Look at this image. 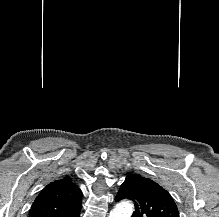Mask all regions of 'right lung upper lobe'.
I'll return each instance as SVG.
<instances>
[{
    "instance_id": "cb5924a9",
    "label": "right lung upper lobe",
    "mask_w": 219,
    "mask_h": 217,
    "mask_svg": "<svg viewBox=\"0 0 219 217\" xmlns=\"http://www.w3.org/2000/svg\"><path fill=\"white\" fill-rule=\"evenodd\" d=\"M82 192L69 177L48 184L32 204L29 217H78Z\"/></svg>"
}]
</instances>
